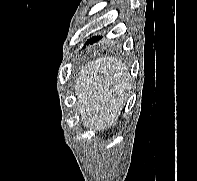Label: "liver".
Wrapping results in <instances>:
<instances>
[{
    "mask_svg": "<svg viewBox=\"0 0 197 181\" xmlns=\"http://www.w3.org/2000/svg\"><path fill=\"white\" fill-rule=\"evenodd\" d=\"M131 88L127 65L116 57H99L85 64L75 82L81 122L103 130L116 124Z\"/></svg>",
    "mask_w": 197,
    "mask_h": 181,
    "instance_id": "6515ba94",
    "label": "liver"
}]
</instances>
